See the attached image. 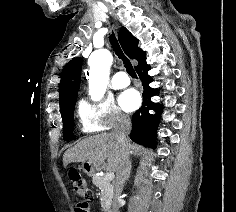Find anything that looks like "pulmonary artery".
<instances>
[{
    "mask_svg": "<svg viewBox=\"0 0 236 212\" xmlns=\"http://www.w3.org/2000/svg\"><path fill=\"white\" fill-rule=\"evenodd\" d=\"M130 84V78L125 72H117L111 81L113 88L119 89L124 88Z\"/></svg>",
    "mask_w": 236,
    "mask_h": 212,
    "instance_id": "obj_1",
    "label": "pulmonary artery"
}]
</instances>
